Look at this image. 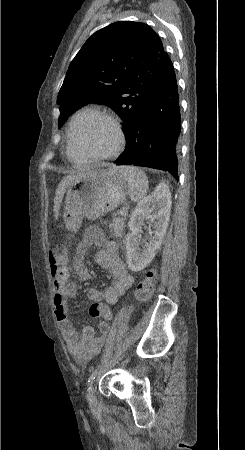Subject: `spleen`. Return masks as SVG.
<instances>
[{
  "label": "spleen",
  "mask_w": 245,
  "mask_h": 450,
  "mask_svg": "<svg viewBox=\"0 0 245 450\" xmlns=\"http://www.w3.org/2000/svg\"><path fill=\"white\" fill-rule=\"evenodd\" d=\"M118 169L128 183L130 199L133 202H139L147 193L148 179L146 174L134 166H122Z\"/></svg>",
  "instance_id": "spleen-1"
}]
</instances>
